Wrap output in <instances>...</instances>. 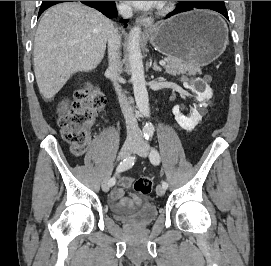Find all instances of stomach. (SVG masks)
Wrapping results in <instances>:
<instances>
[{
  "instance_id": "stomach-1",
  "label": "stomach",
  "mask_w": 271,
  "mask_h": 266,
  "mask_svg": "<svg viewBox=\"0 0 271 266\" xmlns=\"http://www.w3.org/2000/svg\"><path fill=\"white\" fill-rule=\"evenodd\" d=\"M149 39L168 58L205 66L224 52L228 29L218 14L195 10L156 24Z\"/></svg>"
}]
</instances>
